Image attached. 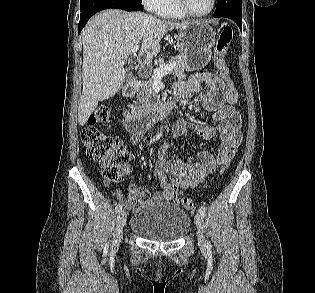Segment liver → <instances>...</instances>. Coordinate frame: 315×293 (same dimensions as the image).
<instances>
[{
	"label": "liver",
	"instance_id": "liver-1",
	"mask_svg": "<svg viewBox=\"0 0 315 293\" xmlns=\"http://www.w3.org/2000/svg\"><path fill=\"white\" fill-rule=\"evenodd\" d=\"M189 23L118 9L105 10L91 18L82 31L83 90L78 122L85 125L98 102L118 92L126 78L125 64L136 46L150 61L157 55L165 33Z\"/></svg>",
	"mask_w": 315,
	"mask_h": 293
}]
</instances>
